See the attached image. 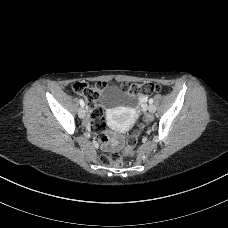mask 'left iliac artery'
Returning a JSON list of instances; mask_svg holds the SVG:
<instances>
[{
	"mask_svg": "<svg viewBox=\"0 0 228 228\" xmlns=\"http://www.w3.org/2000/svg\"><path fill=\"white\" fill-rule=\"evenodd\" d=\"M153 99L151 98V99H149V104H152L153 103Z\"/></svg>",
	"mask_w": 228,
	"mask_h": 228,
	"instance_id": "obj_1",
	"label": "left iliac artery"
}]
</instances>
